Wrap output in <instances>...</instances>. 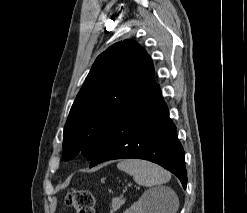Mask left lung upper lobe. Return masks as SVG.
Returning <instances> with one entry per match:
<instances>
[{
  "mask_svg": "<svg viewBox=\"0 0 247 213\" xmlns=\"http://www.w3.org/2000/svg\"><path fill=\"white\" fill-rule=\"evenodd\" d=\"M152 69L150 56L133 40L115 43L96 58L64 126L63 160L80 151L92 159Z\"/></svg>",
  "mask_w": 247,
  "mask_h": 213,
  "instance_id": "left-lung-upper-lobe-1",
  "label": "left lung upper lobe"
}]
</instances>
